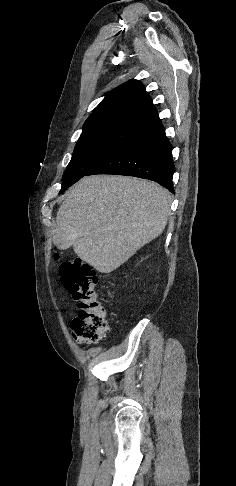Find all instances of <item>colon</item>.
<instances>
[{"instance_id":"colon-1","label":"colon","mask_w":236,"mask_h":486,"mask_svg":"<svg viewBox=\"0 0 236 486\" xmlns=\"http://www.w3.org/2000/svg\"><path fill=\"white\" fill-rule=\"evenodd\" d=\"M63 285L79 303L71 322L72 335L80 344L99 341L109 330L106 313L98 300L96 271L81 259L65 261L60 267Z\"/></svg>"}]
</instances>
